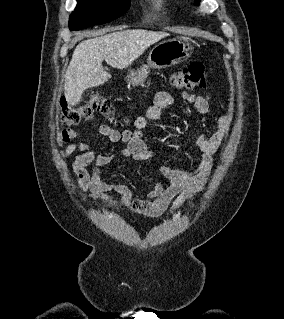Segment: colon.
Here are the masks:
<instances>
[{
    "instance_id": "5ec220e1",
    "label": "colon",
    "mask_w": 284,
    "mask_h": 319,
    "mask_svg": "<svg viewBox=\"0 0 284 319\" xmlns=\"http://www.w3.org/2000/svg\"><path fill=\"white\" fill-rule=\"evenodd\" d=\"M171 84L177 89L203 88L205 82V67L201 62H193L172 73ZM96 113H101L109 121H114V114L110 101L100 94L92 95L89 100L77 108H64L61 112V122L71 127L90 118Z\"/></svg>"
}]
</instances>
